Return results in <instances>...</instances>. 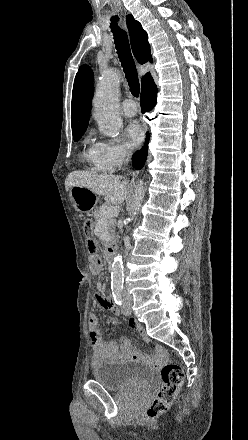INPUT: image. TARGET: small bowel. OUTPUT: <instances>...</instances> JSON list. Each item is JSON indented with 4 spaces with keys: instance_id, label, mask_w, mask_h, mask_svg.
Here are the masks:
<instances>
[{
    "instance_id": "1",
    "label": "small bowel",
    "mask_w": 248,
    "mask_h": 440,
    "mask_svg": "<svg viewBox=\"0 0 248 440\" xmlns=\"http://www.w3.org/2000/svg\"><path fill=\"white\" fill-rule=\"evenodd\" d=\"M97 301L102 307L109 309L113 314H118V310L111 305L109 299L104 294H98ZM130 326L142 336L145 342L150 344L149 338L137 322L131 321ZM88 329L93 349L91 362L94 367H97L105 361H115L125 357H132L135 359L142 357V354L128 339H123L121 345H118L113 341L106 342L98 327V319L95 314H90L89 316ZM165 358L166 353L164 349L159 345H154L153 361L155 363H160L164 361Z\"/></svg>"
}]
</instances>
